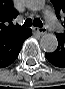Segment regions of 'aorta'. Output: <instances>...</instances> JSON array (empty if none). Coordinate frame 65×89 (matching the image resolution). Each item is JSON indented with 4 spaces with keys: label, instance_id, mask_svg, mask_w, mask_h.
<instances>
[{
    "label": "aorta",
    "instance_id": "obj_1",
    "mask_svg": "<svg viewBox=\"0 0 65 89\" xmlns=\"http://www.w3.org/2000/svg\"><path fill=\"white\" fill-rule=\"evenodd\" d=\"M29 7L32 10H41L45 6V2L43 0H34L29 2ZM40 47L47 53L55 52L58 47V40L55 34L46 33L40 39Z\"/></svg>",
    "mask_w": 65,
    "mask_h": 89
}]
</instances>
